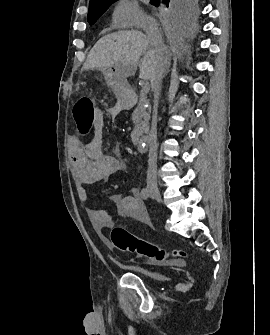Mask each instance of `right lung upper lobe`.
<instances>
[{"mask_svg":"<svg viewBox=\"0 0 270 335\" xmlns=\"http://www.w3.org/2000/svg\"><path fill=\"white\" fill-rule=\"evenodd\" d=\"M116 0H90L89 6H96L105 3H113Z\"/></svg>","mask_w":270,"mask_h":335,"instance_id":"cb5924a9","label":"right lung upper lobe"}]
</instances>
